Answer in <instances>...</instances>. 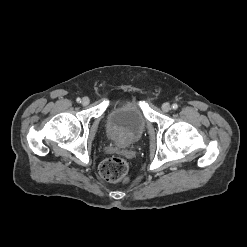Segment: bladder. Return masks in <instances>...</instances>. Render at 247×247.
Returning a JSON list of instances; mask_svg holds the SVG:
<instances>
[{
    "label": "bladder",
    "instance_id": "bladder-1",
    "mask_svg": "<svg viewBox=\"0 0 247 247\" xmlns=\"http://www.w3.org/2000/svg\"><path fill=\"white\" fill-rule=\"evenodd\" d=\"M146 129L141 107L134 101L114 106L107 115L106 130L109 138L119 143L138 140Z\"/></svg>",
    "mask_w": 247,
    "mask_h": 247
}]
</instances>
